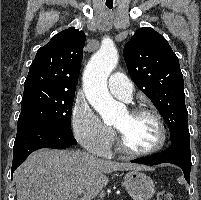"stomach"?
Segmentation results:
<instances>
[{
  "label": "stomach",
  "mask_w": 201,
  "mask_h": 200,
  "mask_svg": "<svg viewBox=\"0 0 201 200\" xmlns=\"http://www.w3.org/2000/svg\"><path fill=\"white\" fill-rule=\"evenodd\" d=\"M123 184L134 200H149L155 193L153 180L138 170L126 173Z\"/></svg>",
  "instance_id": "stomach-1"
}]
</instances>
